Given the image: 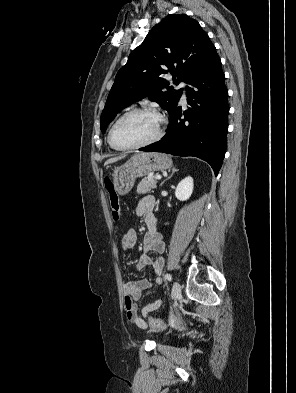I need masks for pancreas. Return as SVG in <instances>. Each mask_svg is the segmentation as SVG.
Returning a JSON list of instances; mask_svg holds the SVG:
<instances>
[{
    "label": "pancreas",
    "instance_id": "obj_1",
    "mask_svg": "<svg viewBox=\"0 0 296 393\" xmlns=\"http://www.w3.org/2000/svg\"><path fill=\"white\" fill-rule=\"evenodd\" d=\"M157 184V180L155 177L144 178L137 186L138 194H146L151 191V189H155Z\"/></svg>",
    "mask_w": 296,
    "mask_h": 393
}]
</instances>
